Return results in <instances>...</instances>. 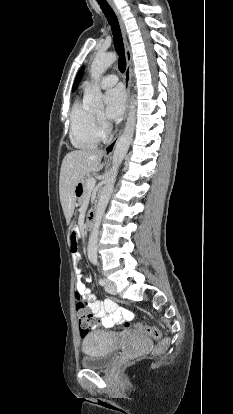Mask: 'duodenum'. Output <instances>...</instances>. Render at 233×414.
<instances>
[{"instance_id": "obj_1", "label": "duodenum", "mask_w": 233, "mask_h": 414, "mask_svg": "<svg viewBox=\"0 0 233 414\" xmlns=\"http://www.w3.org/2000/svg\"><path fill=\"white\" fill-rule=\"evenodd\" d=\"M81 186V185H80ZM96 218V212L94 210L90 211L86 217V221H85V229L86 230H91L94 224Z\"/></svg>"}]
</instances>
